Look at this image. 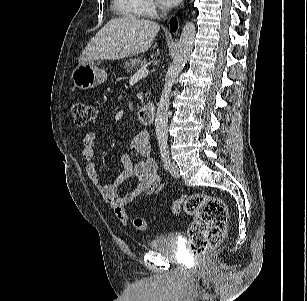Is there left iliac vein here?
<instances>
[{"label":"left iliac vein","mask_w":307,"mask_h":301,"mask_svg":"<svg viewBox=\"0 0 307 301\" xmlns=\"http://www.w3.org/2000/svg\"><path fill=\"white\" fill-rule=\"evenodd\" d=\"M170 172L173 177L179 178L180 177V172H179V167L176 162H172L170 166Z\"/></svg>","instance_id":"left-iliac-vein-1"}]
</instances>
